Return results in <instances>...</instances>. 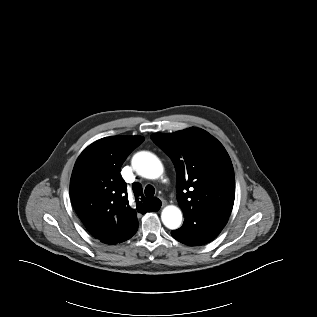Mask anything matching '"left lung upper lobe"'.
<instances>
[{"instance_id": "obj_1", "label": "left lung upper lobe", "mask_w": 317, "mask_h": 317, "mask_svg": "<svg viewBox=\"0 0 317 317\" xmlns=\"http://www.w3.org/2000/svg\"><path fill=\"white\" fill-rule=\"evenodd\" d=\"M151 139L176 169L177 200L188 218L198 213L230 216L235 199L234 170L222 144L203 129L191 127Z\"/></svg>"}]
</instances>
